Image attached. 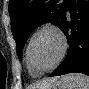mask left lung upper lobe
Segmentation results:
<instances>
[{"instance_id": "1", "label": "left lung upper lobe", "mask_w": 89, "mask_h": 89, "mask_svg": "<svg viewBox=\"0 0 89 89\" xmlns=\"http://www.w3.org/2000/svg\"><path fill=\"white\" fill-rule=\"evenodd\" d=\"M10 0L9 13L18 57L32 31L41 24L52 22L62 28L69 0Z\"/></svg>"}]
</instances>
